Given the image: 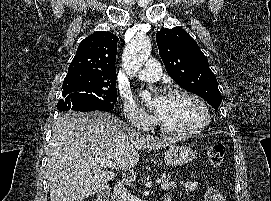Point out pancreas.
Listing matches in <instances>:
<instances>
[{
	"mask_svg": "<svg viewBox=\"0 0 271 201\" xmlns=\"http://www.w3.org/2000/svg\"><path fill=\"white\" fill-rule=\"evenodd\" d=\"M161 188L163 190H170L176 188V183L170 180V177L163 175L161 179Z\"/></svg>",
	"mask_w": 271,
	"mask_h": 201,
	"instance_id": "1",
	"label": "pancreas"
}]
</instances>
